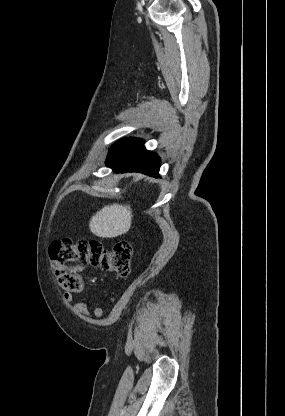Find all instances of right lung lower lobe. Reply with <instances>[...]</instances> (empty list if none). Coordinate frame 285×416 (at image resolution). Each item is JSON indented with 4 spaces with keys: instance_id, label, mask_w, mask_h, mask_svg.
<instances>
[{
    "instance_id": "right-lung-lower-lobe-1",
    "label": "right lung lower lobe",
    "mask_w": 285,
    "mask_h": 416,
    "mask_svg": "<svg viewBox=\"0 0 285 416\" xmlns=\"http://www.w3.org/2000/svg\"><path fill=\"white\" fill-rule=\"evenodd\" d=\"M106 165L115 172H141L158 177L160 158L145 149L143 140L127 138L119 140L110 148Z\"/></svg>"
}]
</instances>
